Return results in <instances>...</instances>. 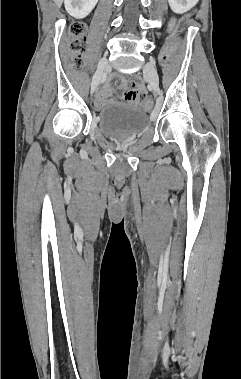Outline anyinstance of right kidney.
Segmentation results:
<instances>
[{
    "label": "right kidney",
    "mask_w": 241,
    "mask_h": 379,
    "mask_svg": "<svg viewBox=\"0 0 241 379\" xmlns=\"http://www.w3.org/2000/svg\"><path fill=\"white\" fill-rule=\"evenodd\" d=\"M97 2L98 0H64L66 11L77 19L88 16Z\"/></svg>",
    "instance_id": "right-kidney-1"
}]
</instances>
